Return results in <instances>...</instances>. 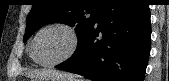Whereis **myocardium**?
<instances>
[{"mask_svg": "<svg viewBox=\"0 0 169 81\" xmlns=\"http://www.w3.org/2000/svg\"><path fill=\"white\" fill-rule=\"evenodd\" d=\"M50 29L64 30L71 38V46H70L68 52L63 57L58 59L57 61H54L51 63H42L36 57L35 45H36V41H37L38 37L43 32L50 30ZM78 46H79V35L74 27H72L66 23H53V24L43 27L35 34V36L32 40V43H31L30 52H31V56H32L34 62H36L38 65H40L41 67H45V68H53L65 61H67L68 59H70L74 55V53L76 52Z\"/></svg>", "mask_w": 169, "mask_h": 81, "instance_id": "1", "label": "myocardium"}]
</instances>
